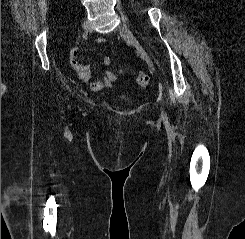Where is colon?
I'll use <instances>...</instances> for the list:
<instances>
[{"instance_id":"5ec220e1","label":"colon","mask_w":245,"mask_h":239,"mask_svg":"<svg viewBox=\"0 0 245 239\" xmlns=\"http://www.w3.org/2000/svg\"><path fill=\"white\" fill-rule=\"evenodd\" d=\"M150 77L146 73H139L136 78V82L139 87L146 88L149 84Z\"/></svg>"}]
</instances>
